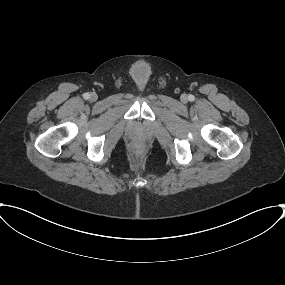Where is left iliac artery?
<instances>
[{"label":"left iliac artery","mask_w":285,"mask_h":285,"mask_svg":"<svg viewBox=\"0 0 285 285\" xmlns=\"http://www.w3.org/2000/svg\"><path fill=\"white\" fill-rule=\"evenodd\" d=\"M188 99H189V101H194V100H195V97H194L193 95H189V96H188Z\"/></svg>","instance_id":"1"}]
</instances>
